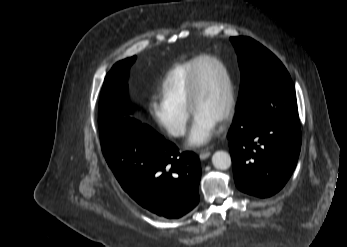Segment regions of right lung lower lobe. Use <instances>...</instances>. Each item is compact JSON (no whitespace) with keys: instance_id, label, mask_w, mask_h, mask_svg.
<instances>
[{"instance_id":"1","label":"right lung lower lobe","mask_w":347,"mask_h":247,"mask_svg":"<svg viewBox=\"0 0 347 247\" xmlns=\"http://www.w3.org/2000/svg\"><path fill=\"white\" fill-rule=\"evenodd\" d=\"M100 139L120 185L144 208L173 219L198 204L201 168L193 152L180 154L173 143L131 118L100 128Z\"/></svg>"}]
</instances>
